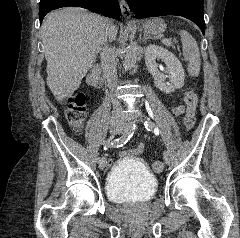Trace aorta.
Wrapping results in <instances>:
<instances>
[{"label": "aorta", "mask_w": 240, "mask_h": 238, "mask_svg": "<svg viewBox=\"0 0 240 238\" xmlns=\"http://www.w3.org/2000/svg\"><path fill=\"white\" fill-rule=\"evenodd\" d=\"M138 59V45L132 41L126 47L123 65L125 69H130Z\"/></svg>", "instance_id": "obj_1"}]
</instances>
